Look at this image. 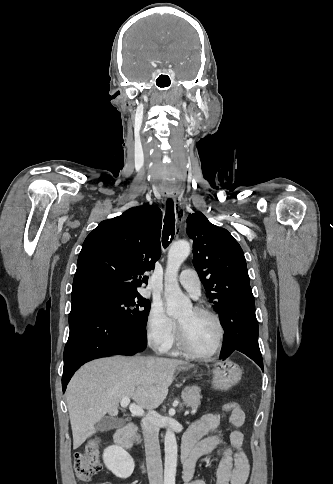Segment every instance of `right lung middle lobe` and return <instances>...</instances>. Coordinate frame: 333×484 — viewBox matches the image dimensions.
Here are the masks:
<instances>
[{"mask_svg": "<svg viewBox=\"0 0 333 484\" xmlns=\"http://www.w3.org/2000/svg\"><path fill=\"white\" fill-rule=\"evenodd\" d=\"M86 295L101 301L114 316L131 329L138 332H146L150 302L140 294L95 291Z\"/></svg>", "mask_w": 333, "mask_h": 484, "instance_id": "1", "label": "right lung middle lobe"}]
</instances>
